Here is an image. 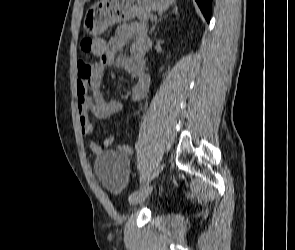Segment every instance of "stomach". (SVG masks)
I'll use <instances>...</instances> for the list:
<instances>
[{"mask_svg": "<svg viewBox=\"0 0 295 250\" xmlns=\"http://www.w3.org/2000/svg\"><path fill=\"white\" fill-rule=\"evenodd\" d=\"M175 0H100L92 5L84 18V29L100 35L111 25L128 21L151 11H165Z\"/></svg>", "mask_w": 295, "mask_h": 250, "instance_id": "0dacf381", "label": "stomach"}]
</instances>
